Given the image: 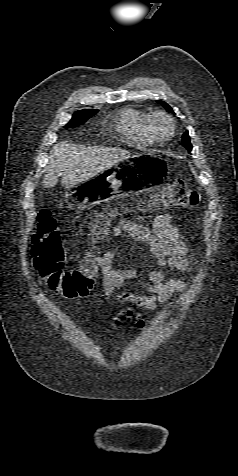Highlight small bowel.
<instances>
[{
    "label": "small bowel",
    "instance_id": "1",
    "mask_svg": "<svg viewBox=\"0 0 238 476\" xmlns=\"http://www.w3.org/2000/svg\"><path fill=\"white\" fill-rule=\"evenodd\" d=\"M129 237L136 244L146 245L159 268L149 269L145 279L137 280V269H118L113 266L116 251L108 250L103 255L94 251L83 254V267L93 266L102 274L104 295L110 297L114 291L127 284L136 282L143 293L122 292L119 299L145 309L154 310L166 302L173 294L187 289V283L181 280H166L164 269H175L191 273V250L185 243L179 227L171 223L170 215L157 216L151 224H139L133 219H121L118 223L105 228L100 237ZM99 237V238H100ZM92 238H95L92 235ZM91 289L72 294H65L71 300H79L90 295Z\"/></svg>",
    "mask_w": 238,
    "mask_h": 476
}]
</instances>
